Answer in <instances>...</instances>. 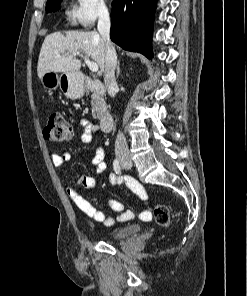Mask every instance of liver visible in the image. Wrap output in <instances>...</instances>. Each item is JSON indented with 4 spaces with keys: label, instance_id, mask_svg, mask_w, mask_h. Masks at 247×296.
I'll list each match as a JSON object with an SVG mask.
<instances>
[{
    "label": "liver",
    "instance_id": "6515ba94",
    "mask_svg": "<svg viewBox=\"0 0 247 296\" xmlns=\"http://www.w3.org/2000/svg\"><path fill=\"white\" fill-rule=\"evenodd\" d=\"M78 52H84L104 71L105 46L97 31L54 32L47 35L42 44L37 64L38 77L49 71L78 73L81 68V61L75 57Z\"/></svg>",
    "mask_w": 247,
    "mask_h": 296
}]
</instances>
